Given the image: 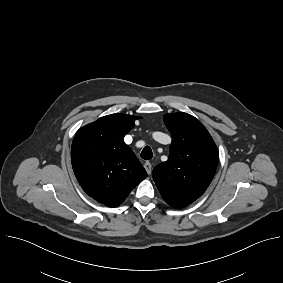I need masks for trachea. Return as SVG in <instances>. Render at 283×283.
Here are the masks:
<instances>
[{
    "label": "trachea",
    "instance_id": "3493384b",
    "mask_svg": "<svg viewBox=\"0 0 283 283\" xmlns=\"http://www.w3.org/2000/svg\"><path fill=\"white\" fill-rule=\"evenodd\" d=\"M153 157L152 150L149 146L144 147V149L141 152V158L144 160H150Z\"/></svg>",
    "mask_w": 283,
    "mask_h": 283
}]
</instances>
